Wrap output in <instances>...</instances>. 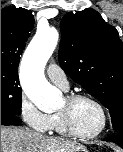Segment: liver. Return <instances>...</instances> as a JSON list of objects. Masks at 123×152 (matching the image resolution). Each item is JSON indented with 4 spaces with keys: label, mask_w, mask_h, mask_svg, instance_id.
<instances>
[{
    "label": "liver",
    "mask_w": 123,
    "mask_h": 152,
    "mask_svg": "<svg viewBox=\"0 0 123 152\" xmlns=\"http://www.w3.org/2000/svg\"><path fill=\"white\" fill-rule=\"evenodd\" d=\"M1 152H86L76 142L49 137L29 128L1 126Z\"/></svg>",
    "instance_id": "1"
}]
</instances>
